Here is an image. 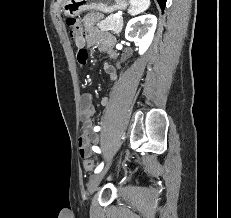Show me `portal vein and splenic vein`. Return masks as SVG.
I'll use <instances>...</instances> for the list:
<instances>
[{
	"label": "portal vein and splenic vein",
	"instance_id": "obj_1",
	"mask_svg": "<svg viewBox=\"0 0 231 218\" xmlns=\"http://www.w3.org/2000/svg\"><path fill=\"white\" fill-rule=\"evenodd\" d=\"M116 18H121V16L119 14H116Z\"/></svg>",
	"mask_w": 231,
	"mask_h": 218
}]
</instances>
